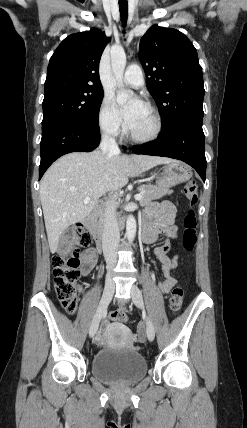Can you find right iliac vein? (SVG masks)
<instances>
[{
    "label": "right iliac vein",
    "instance_id": "right-iliac-vein-1",
    "mask_svg": "<svg viewBox=\"0 0 247 428\" xmlns=\"http://www.w3.org/2000/svg\"><path fill=\"white\" fill-rule=\"evenodd\" d=\"M115 290V284L111 278V276H108L105 282L104 291L102 294V298L100 300V303L98 305L97 311L93 317V320L91 322L90 328H89V336L93 337L98 329L100 320L102 316L104 315L108 304L112 298V295Z\"/></svg>",
    "mask_w": 247,
    "mask_h": 428
}]
</instances>
